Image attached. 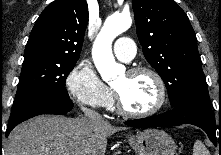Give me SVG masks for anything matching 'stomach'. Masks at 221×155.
Masks as SVG:
<instances>
[{"label":"stomach","mask_w":221,"mask_h":155,"mask_svg":"<svg viewBox=\"0 0 221 155\" xmlns=\"http://www.w3.org/2000/svg\"><path fill=\"white\" fill-rule=\"evenodd\" d=\"M130 146L136 155H175L176 144L164 131L145 129L128 137Z\"/></svg>","instance_id":"0dacf381"}]
</instances>
